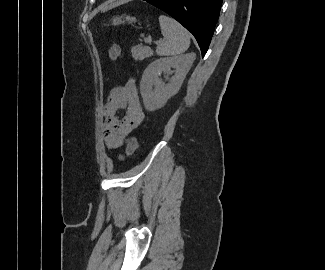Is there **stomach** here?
Returning a JSON list of instances; mask_svg holds the SVG:
<instances>
[{"label": "stomach", "instance_id": "obj_1", "mask_svg": "<svg viewBox=\"0 0 325 270\" xmlns=\"http://www.w3.org/2000/svg\"><path fill=\"white\" fill-rule=\"evenodd\" d=\"M125 21L129 23L136 22V19L134 17L130 16H117L112 19V24L113 25H119L121 23H124Z\"/></svg>", "mask_w": 325, "mask_h": 270}]
</instances>
